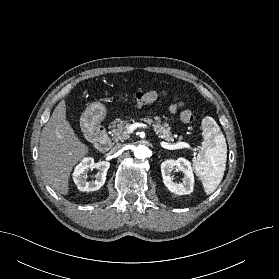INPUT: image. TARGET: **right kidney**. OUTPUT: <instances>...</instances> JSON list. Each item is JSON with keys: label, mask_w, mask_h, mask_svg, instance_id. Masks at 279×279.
<instances>
[{"label": "right kidney", "mask_w": 279, "mask_h": 279, "mask_svg": "<svg viewBox=\"0 0 279 279\" xmlns=\"http://www.w3.org/2000/svg\"><path fill=\"white\" fill-rule=\"evenodd\" d=\"M110 167L108 161L94 163L93 158L86 157L75 167L73 172V180L80 191H96L99 190L106 181V174ZM96 168L98 173L95 175V180L87 181V173L89 169Z\"/></svg>", "instance_id": "right-kidney-1"}]
</instances>
